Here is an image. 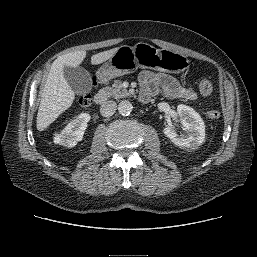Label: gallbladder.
<instances>
[{"label":"gallbladder","mask_w":257,"mask_h":257,"mask_svg":"<svg viewBox=\"0 0 257 257\" xmlns=\"http://www.w3.org/2000/svg\"><path fill=\"white\" fill-rule=\"evenodd\" d=\"M63 73L71 89L77 95H84L92 88L90 73L83 67L65 66Z\"/></svg>","instance_id":"bac80fb5"}]
</instances>
